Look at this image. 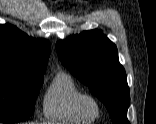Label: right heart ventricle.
<instances>
[{
	"instance_id": "right-heart-ventricle-1",
	"label": "right heart ventricle",
	"mask_w": 156,
	"mask_h": 124,
	"mask_svg": "<svg viewBox=\"0 0 156 124\" xmlns=\"http://www.w3.org/2000/svg\"><path fill=\"white\" fill-rule=\"evenodd\" d=\"M83 94L74 78L58 72L48 86L43 103L44 115L48 120L67 124H87L97 117H87L78 107V99Z\"/></svg>"
}]
</instances>
